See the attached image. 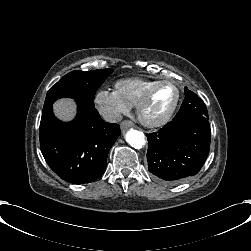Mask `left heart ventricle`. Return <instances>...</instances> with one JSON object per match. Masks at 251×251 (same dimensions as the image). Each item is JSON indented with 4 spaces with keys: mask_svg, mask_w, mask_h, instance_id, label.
Instances as JSON below:
<instances>
[{
    "mask_svg": "<svg viewBox=\"0 0 251 251\" xmlns=\"http://www.w3.org/2000/svg\"><path fill=\"white\" fill-rule=\"evenodd\" d=\"M179 97L178 86L173 82H164L158 86L150 98L144 114L146 118L157 121L169 113Z\"/></svg>",
    "mask_w": 251,
    "mask_h": 251,
    "instance_id": "1",
    "label": "left heart ventricle"
}]
</instances>
